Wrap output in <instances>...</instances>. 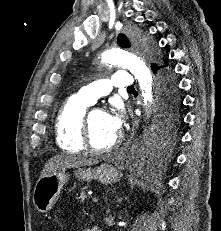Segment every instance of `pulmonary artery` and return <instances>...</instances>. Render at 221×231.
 Here are the masks:
<instances>
[{"label": "pulmonary artery", "instance_id": "pulmonary-artery-1", "mask_svg": "<svg viewBox=\"0 0 221 231\" xmlns=\"http://www.w3.org/2000/svg\"><path fill=\"white\" fill-rule=\"evenodd\" d=\"M134 86V80L127 71H117L111 77L92 82L81 88L77 97L93 104L100 97L106 96L113 88H129Z\"/></svg>", "mask_w": 221, "mask_h": 231}]
</instances>
